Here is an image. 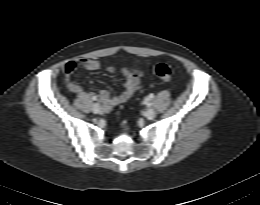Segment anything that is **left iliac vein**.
Instances as JSON below:
<instances>
[{
	"instance_id": "left-iliac-vein-1",
	"label": "left iliac vein",
	"mask_w": 260,
	"mask_h": 205,
	"mask_svg": "<svg viewBox=\"0 0 260 205\" xmlns=\"http://www.w3.org/2000/svg\"><path fill=\"white\" fill-rule=\"evenodd\" d=\"M144 116H145L148 120H152V119L155 118L156 112H155L154 109L149 108V109H147V110L145 111Z\"/></svg>"
}]
</instances>
